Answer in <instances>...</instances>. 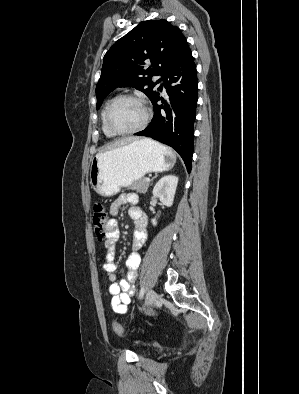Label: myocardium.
Listing matches in <instances>:
<instances>
[{"label":"myocardium","instance_id":"myocardium-1","mask_svg":"<svg viewBox=\"0 0 299 394\" xmlns=\"http://www.w3.org/2000/svg\"><path fill=\"white\" fill-rule=\"evenodd\" d=\"M123 99H131V100H135V101L139 102L144 109V118H143V121L137 127L133 128L131 130H127V131H118V130L114 129L110 123V114H111V110L114 107V105L118 101L123 100ZM150 118H151V111H150L146 101L142 97L135 95V94H121V95L114 97L109 102L107 109H106V113H105V124H106L108 130L112 134L118 135V136H125V135H132V134L142 131L149 123Z\"/></svg>","mask_w":299,"mask_h":394}]
</instances>
